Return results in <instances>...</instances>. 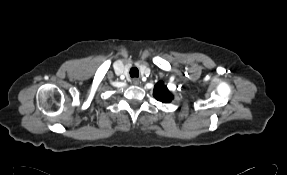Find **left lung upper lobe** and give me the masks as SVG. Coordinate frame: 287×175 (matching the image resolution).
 Wrapping results in <instances>:
<instances>
[{"instance_id":"left-lung-upper-lobe-1","label":"left lung upper lobe","mask_w":287,"mask_h":175,"mask_svg":"<svg viewBox=\"0 0 287 175\" xmlns=\"http://www.w3.org/2000/svg\"><path fill=\"white\" fill-rule=\"evenodd\" d=\"M153 95L158 101L163 103H169L173 99V95L161 81L154 86Z\"/></svg>"}]
</instances>
